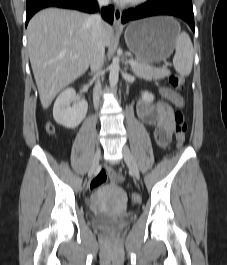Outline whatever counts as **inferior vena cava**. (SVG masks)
Wrapping results in <instances>:
<instances>
[{"label": "inferior vena cava", "instance_id": "602c4592", "mask_svg": "<svg viewBox=\"0 0 227 265\" xmlns=\"http://www.w3.org/2000/svg\"><path fill=\"white\" fill-rule=\"evenodd\" d=\"M99 7L109 5V0H98ZM89 21L91 23V35H90V42H91V55H90V67L92 73L95 74L97 78V83L94 88L93 92V103L95 108H98L100 95H101V84L98 79L101 68L104 64V53H105V43L102 33V24L103 20L100 14L95 13L90 15Z\"/></svg>", "mask_w": 227, "mask_h": 265}]
</instances>
